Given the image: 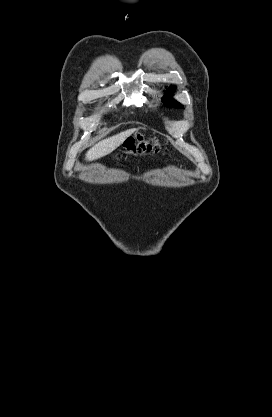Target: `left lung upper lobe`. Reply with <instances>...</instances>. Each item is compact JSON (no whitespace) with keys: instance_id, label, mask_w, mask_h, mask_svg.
Here are the masks:
<instances>
[{"instance_id":"left-lung-upper-lobe-1","label":"left lung upper lobe","mask_w":272,"mask_h":417,"mask_svg":"<svg viewBox=\"0 0 272 417\" xmlns=\"http://www.w3.org/2000/svg\"><path fill=\"white\" fill-rule=\"evenodd\" d=\"M174 92H175V89L174 88H170L169 90H167L165 92V96L163 97L162 101L167 106L176 107V108H182V105L179 102H177L174 99H172V95H173Z\"/></svg>"}]
</instances>
